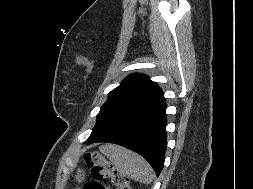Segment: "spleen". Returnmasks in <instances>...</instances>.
Returning a JSON list of instances; mask_svg holds the SVG:
<instances>
[{
	"label": "spleen",
	"instance_id": "1",
	"mask_svg": "<svg viewBox=\"0 0 253 189\" xmlns=\"http://www.w3.org/2000/svg\"><path fill=\"white\" fill-rule=\"evenodd\" d=\"M99 150L114 164L117 171L133 180L150 184L154 173L149 163L135 152L114 144H106Z\"/></svg>",
	"mask_w": 253,
	"mask_h": 189
}]
</instances>
